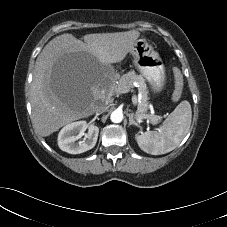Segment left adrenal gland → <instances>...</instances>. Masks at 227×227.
I'll use <instances>...</instances> for the list:
<instances>
[{
  "label": "left adrenal gland",
  "instance_id": "obj_1",
  "mask_svg": "<svg viewBox=\"0 0 227 227\" xmlns=\"http://www.w3.org/2000/svg\"><path fill=\"white\" fill-rule=\"evenodd\" d=\"M128 116H129V125L130 126L131 125H135V126H138L139 127V125L137 124V122L134 119V114L133 113H130V114H128Z\"/></svg>",
  "mask_w": 227,
  "mask_h": 227
}]
</instances>
